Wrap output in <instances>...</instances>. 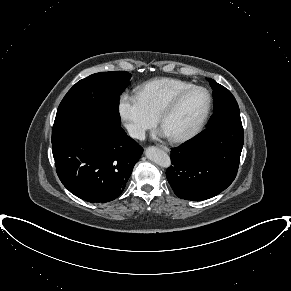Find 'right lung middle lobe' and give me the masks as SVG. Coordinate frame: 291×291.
I'll return each mask as SVG.
<instances>
[{"label":"right lung middle lobe","mask_w":291,"mask_h":291,"mask_svg":"<svg viewBox=\"0 0 291 291\" xmlns=\"http://www.w3.org/2000/svg\"><path fill=\"white\" fill-rule=\"evenodd\" d=\"M130 77L126 71L101 72L76 83L59 105L52 143L81 127L119 126V99Z\"/></svg>","instance_id":"right-lung-middle-lobe-1"}]
</instances>
